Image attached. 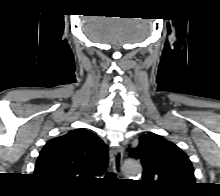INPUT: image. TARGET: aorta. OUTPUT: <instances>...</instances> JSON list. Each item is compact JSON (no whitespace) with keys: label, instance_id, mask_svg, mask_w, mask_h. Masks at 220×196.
I'll use <instances>...</instances> for the list:
<instances>
[{"label":"aorta","instance_id":"1","mask_svg":"<svg viewBox=\"0 0 220 196\" xmlns=\"http://www.w3.org/2000/svg\"><path fill=\"white\" fill-rule=\"evenodd\" d=\"M123 172L126 177H136L141 174V164L136 160H126L123 164Z\"/></svg>","mask_w":220,"mask_h":196}]
</instances>
